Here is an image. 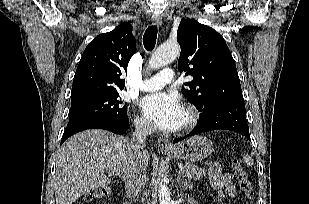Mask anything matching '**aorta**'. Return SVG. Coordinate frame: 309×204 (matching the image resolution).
<instances>
[{"instance_id":"aorta-1","label":"aorta","mask_w":309,"mask_h":204,"mask_svg":"<svg viewBox=\"0 0 309 204\" xmlns=\"http://www.w3.org/2000/svg\"><path fill=\"white\" fill-rule=\"evenodd\" d=\"M180 54V46L176 42L163 43L150 57L148 65L151 69H159L173 62ZM160 204H172L171 193L165 184L158 188Z\"/></svg>"}]
</instances>
